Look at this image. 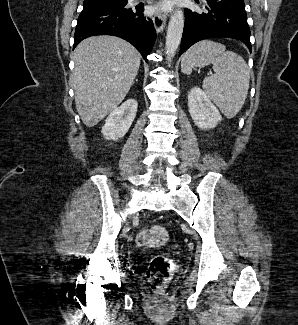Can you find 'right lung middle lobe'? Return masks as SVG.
<instances>
[{
	"label": "right lung middle lobe",
	"instance_id": "right-lung-middle-lobe-1",
	"mask_svg": "<svg viewBox=\"0 0 298 325\" xmlns=\"http://www.w3.org/2000/svg\"><path fill=\"white\" fill-rule=\"evenodd\" d=\"M127 0H84L83 8L126 5Z\"/></svg>",
	"mask_w": 298,
	"mask_h": 325
}]
</instances>
